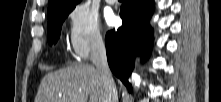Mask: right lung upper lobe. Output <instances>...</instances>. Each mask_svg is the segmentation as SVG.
<instances>
[{
  "instance_id": "right-lung-upper-lobe-1",
  "label": "right lung upper lobe",
  "mask_w": 221,
  "mask_h": 102,
  "mask_svg": "<svg viewBox=\"0 0 221 102\" xmlns=\"http://www.w3.org/2000/svg\"><path fill=\"white\" fill-rule=\"evenodd\" d=\"M80 2L81 0H49L48 19L61 10L73 7L75 8V6Z\"/></svg>"
}]
</instances>
